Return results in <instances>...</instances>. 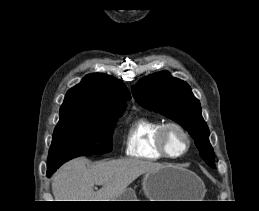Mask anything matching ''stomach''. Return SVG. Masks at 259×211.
<instances>
[{"label":"stomach","instance_id":"1","mask_svg":"<svg viewBox=\"0 0 259 211\" xmlns=\"http://www.w3.org/2000/svg\"><path fill=\"white\" fill-rule=\"evenodd\" d=\"M142 186L149 201H195L203 193V183L193 172L171 165L147 172L143 176ZM131 188L115 201H137Z\"/></svg>","mask_w":259,"mask_h":211}]
</instances>
